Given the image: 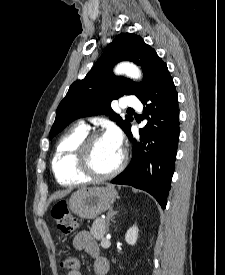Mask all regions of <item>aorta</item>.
Wrapping results in <instances>:
<instances>
[{
  "label": "aorta",
  "mask_w": 225,
  "mask_h": 275,
  "mask_svg": "<svg viewBox=\"0 0 225 275\" xmlns=\"http://www.w3.org/2000/svg\"><path fill=\"white\" fill-rule=\"evenodd\" d=\"M115 74L120 75V74H125L129 78L132 79H139L141 78V71L139 70L138 67L131 63H121L119 64L115 70Z\"/></svg>",
  "instance_id": "762f6f07"
}]
</instances>
